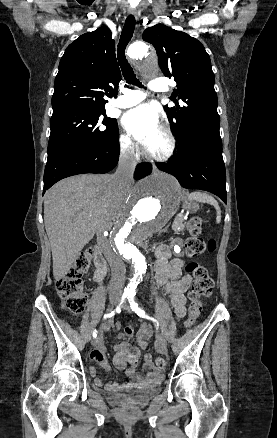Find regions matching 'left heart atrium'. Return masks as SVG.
I'll return each instance as SVG.
<instances>
[{"label": "left heart atrium", "mask_w": 277, "mask_h": 438, "mask_svg": "<svg viewBox=\"0 0 277 438\" xmlns=\"http://www.w3.org/2000/svg\"><path fill=\"white\" fill-rule=\"evenodd\" d=\"M123 123L143 149H145L151 137L159 130L157 115L148 105H142L130 110L124 116Z\"/></svg>", "instance_id": "39dd6f15"}]
</instances>
